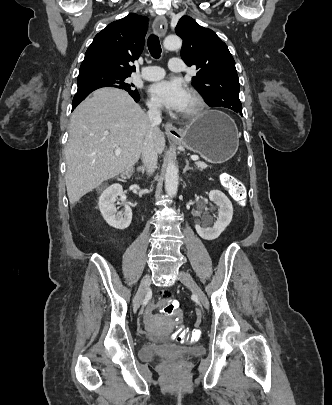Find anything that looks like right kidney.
I'll return each instance as SVG.
<instances>
[{
	"mask_svg": "<svg viewBox=\"0 0 332 405\" xmlns=\"http://www.w3.org/2000/svg\"><path fill=\"white\" fill-rule=\"evenodd\" d=\"M120 197L124 209L118 211L115 202ZM126 195L122 186L118 183L110 185L99 197V210L104 220L113 228L124 230L128 228L132 221V210L126 204Z\"/></svg>",
	"mask_w": 332,
	"mask_h": 405,
	"instance_id": "1",
	"label": "right kidney"
}]
</instances>
